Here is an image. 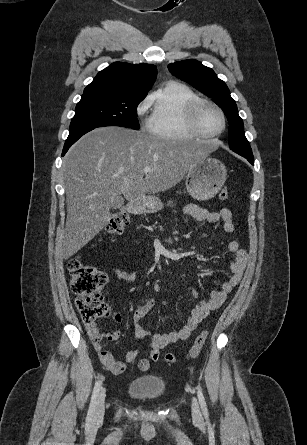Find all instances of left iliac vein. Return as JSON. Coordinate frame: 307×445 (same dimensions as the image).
<instances>
[{"label": "left iliac vein", "instance_id": "obj_1", "mask_svg": "<svg viewBox=\"0 0 307 445\" xmlns=\"http://www.w3.org/2000/svg\"><path fill=\"white\" fill-rule=\"evenodd\" d=\"M192 415L195 420L201 419V412L196 398L192 400Z\"/></svg>", "mask_w": 307, "mask_h": 445}]
</instances>
